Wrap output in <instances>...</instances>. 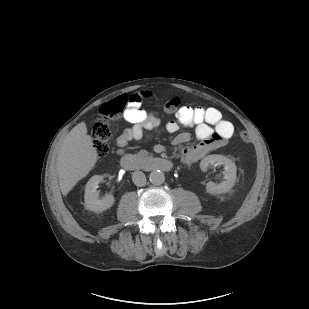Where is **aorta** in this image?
Wrapping results in <instances>:
<instances>
[{"label":"aorta","instance_id":"aorta-1","mask_svg":"<svg viewBox=\"0 0 309 309\" xmlns=\"http://www.w3.org/2000/svg\"><path fill=\"white\" fill-rule=\"evenodd\" d=\"M149 180L153 185H161L165 181V175L160 170H155L150 173Z\"/></svg>","mask_w":309,"mask_h":309}]
</instances>
